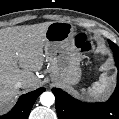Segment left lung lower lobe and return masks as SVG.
Wrapping results in <instances>:
<instances>
[{
    "mask_svg": "<svg viewBox=\"0 0 119 119\" xmlns=\"http://www.w3.org/2000/svg\"><path fill=\"white\" fill-rule=\"evenodd\" d=\"M118 69L117 86L106 102L82 103L62 89L53 88L59 119H119V47L109 40Z\"/></svg>",
    "mask_w": 119,
    "mask_h": 119,
    "instance_id": "left-lung-lower-lobe-1",
    "label": "left lung lower lobe"
}]
</instances>
